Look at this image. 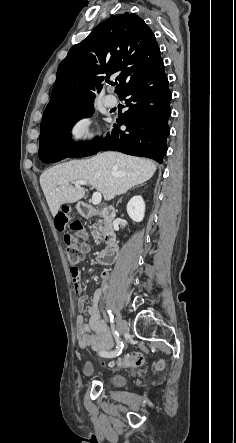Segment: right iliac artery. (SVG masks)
<instances>
[{
	"instance_id": "obj_1",
	"label": "right iliac artery",
	"mask_w": 236,
	"mask_h": 443,
	"mask_svg": "<svg viewBox=\"0 0 236 443\" xmlns=\"http://www.w3.org/2000/svg\"><path fill=\"white\" fill-rule=\"evenodd\" d=\"M108 313L110 315L111 329H112L113 335L116 339L117 346H116L115 351H111V352L102 351V352H99V354L102 357L112 358V357H115V356H118L121 354L122 349H123V343L119 339V333L117 332V330H115V325H114V321H113V316L111 315V311L108 310Z\"/></svg>"
}]
</instances>
